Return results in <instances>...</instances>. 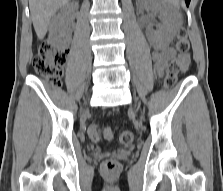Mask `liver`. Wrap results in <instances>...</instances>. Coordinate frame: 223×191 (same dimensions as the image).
<instances>
[{"label":"liver","instance_id":"1","mask_svg":"<svg viewBox=\"0 0 223 191\" xmlns=\"http://www.w3.org/2000/svg\"><path fill=\"white\" fill-rule=\"evenodd\" d=\"M69 0H29L33 26L38 39L42 40L50 25L51 17Z\"/></svg>","mask_w":223,"mask_h":191}]
</instances>
